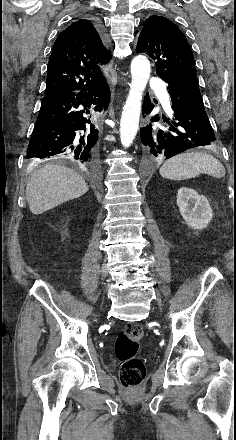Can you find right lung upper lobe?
<instances>
[{
  "label": "right lung upper lobe",
  "mask_w": 236,
  "mask_h": 440,
  "mask_svg": "<svg viewBox=\"0 0 236 440\" xmlns=\"http://www.w3.org/2000/svg\"><path fill=\"white\" fill-rule=\"evenodd\" d=\"M111 54L92 22H73L57 37L48 63L46 95L82 92L105 80L100 66Z\"/></svg>",
  "instance_id": "obj_1"
}]
</instances>
